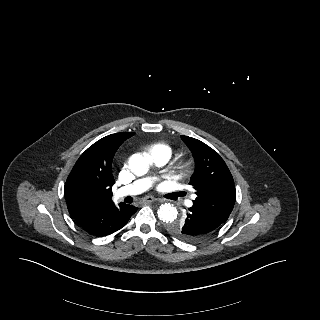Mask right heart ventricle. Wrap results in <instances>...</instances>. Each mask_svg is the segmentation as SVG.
Returning <instances> with one entry per match:
<instances>
[{
  "label": "right heart ventricle",
  "mask_w": 320,
  "mask_h": 320,
  "mask_svg": "<svg viewBox=\"0 0 320 320\" xmlns=\"http://www.w3.org/2000/svg\"><path fill=\"white\" fill-rule=\"evenodd\" d=\"M147 152L149 155L152 153H155V152H165L170 155L171 148L166 143L159 142V143H154V144L149 145L147 147Z\"/></svg>",
  "instance_id": "e07e8e85"
}]
</instances>
